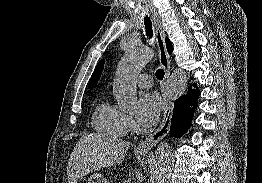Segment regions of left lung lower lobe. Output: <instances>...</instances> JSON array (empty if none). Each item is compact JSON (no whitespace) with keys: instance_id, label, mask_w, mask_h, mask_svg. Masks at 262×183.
Returning a JSON list of instances; mask_svg holds the SVG:
<instances>
[{"instance_id":"1","label":"left lung lower lobe","mask_w":262,"mask_h":183,"mask_svg":"<svg viewBox=\"0 0 262 183\" xmlns=\"http://www.w3.org/2000/svg\"><path fill=\"white\" fill-rule=\"evenodd\" d=\"M199 96L200 91L190 87L186 95L175 101L170 127L172 136L181 137L188 130L194 116V110L197 108Z\"/></svg>"}]
</instances>
